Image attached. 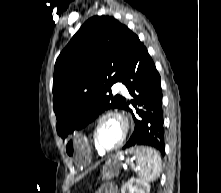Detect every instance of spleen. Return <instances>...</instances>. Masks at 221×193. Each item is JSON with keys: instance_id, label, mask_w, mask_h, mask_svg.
<instances>
[{"instance_id": "spleen-1", "label": "spleen", "mask_w": 221, "mask_h": 193, "mask_svg": "<svg viewBox=\"0 0 221 193\" xmlns=\"http://www.w3.org/2000/svg\"><path fill=\"white\" fill-rule=\"evenodd\" d=\"M136 151L138 176L143 181L156 180L161 172V158L152 146H133Z\"/></svg>"}]
</instances>
